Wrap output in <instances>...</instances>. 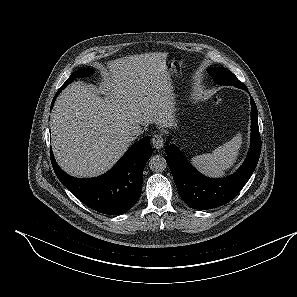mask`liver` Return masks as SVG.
<instances>
[{"label": "liver", "instance_id": "obj_1", "mask_svg": "<svg viewBox=\"0 0 297 297\" xmlns=\"http://www.w3.org/2000/svg\"><path fill=\"white\" fill-rule=\"evenodd\" d=\"M168 54H136L112 60L103 70L102 92L81 82L66 87L51 115L52 150L59 166L75 177L99 176L125 153L128 126L173 125V86Z\"/></svg>", "mask_w": 297, "mask_h": 297}]
</instances>
